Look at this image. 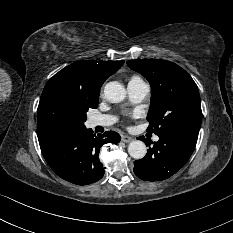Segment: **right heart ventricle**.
Returning <instances> with one entry per match:
<instances>
[{
  "label": "right heart ventricle",
  "mask_w": 233,
  "mask_h": 233,
  "mask_svg": "<svg viewBox=\"0 0 233 233\" xmlns=\"http://www.w3.org/2000/svg\"><path fill=\"white\" fill-rule=\"evenodd\" d=\"M136 81H142V79L140 77H138V76H132L130 78V82H136Z\"/></svg>",
  "instance_id": "right-heart-ventricle-1"
}]
</instances>
